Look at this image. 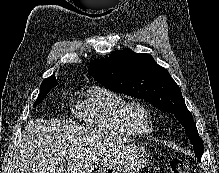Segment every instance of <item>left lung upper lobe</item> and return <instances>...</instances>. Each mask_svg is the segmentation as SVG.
I'll list each match as a JSON object with an SVG mask.
<instances>
[{
	"instance_id": "left-lung-upper-lobe-1",
	"label": "left lung upper lobe",
	"mask_w": 219,
	"mask_h": 173,
	"mask_svg": "<svg viewBox=\"0 0 219 173\" xmlns=\"http://www.w3.org/2000/svg\"><path fill=\"white\" fill-rule=\"evenodd\" d=\"M89 73L106 88L144 99L158 109L174 114L185 128L196 157L201 160L203 141L181 90L169 72L156 64L150 54L117 50L108 57L93 60L89 64Z\"/></svg>"
}]
</instances>
